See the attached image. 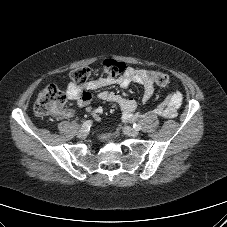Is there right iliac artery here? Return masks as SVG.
Instances as JSON below:
<instances>
[{"label":"right iliac artery","instance_id":"1","mask_svg":"<svg viewBox=\"0 0 227 227\" xmlns=\"http://www.w3.org/2000/svg\"><path fill=\"white\" fill-rule=\"evenodd\" d=\"M91 124H92V121H91V120H87V121H85V122L82 124V128H83V129H89L90 126H91Z\"/></svg>","mask_w":227,"mask_h":227}]
</instances>
